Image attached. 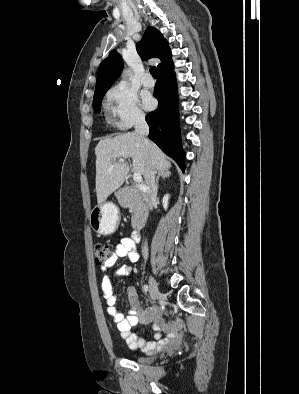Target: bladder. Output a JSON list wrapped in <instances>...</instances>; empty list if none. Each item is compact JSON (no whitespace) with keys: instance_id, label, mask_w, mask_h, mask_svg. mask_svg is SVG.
I'll return each mask as SVG.
<instances>
[{"instance_id":"31cf9c89","label":"bladder","mask_w":299,"mask_h":394,"mask_svg":"<svg viewBox=\"0 0 299 394\" xmlns=\"http://www.w3.org/2000/svg\"><path fill=\"white\" fill-rule=\"evenodd\" d=\"M137 361L140 363H147V362H149V359H147L145 357H137Z\"/></svg>"}]
</instances>
